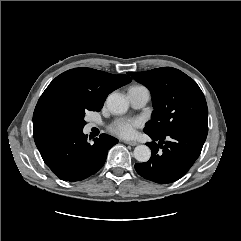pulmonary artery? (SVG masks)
<instances>
[{"label":"pulmonary artery","mask_w":241,"mask_h":241,"mask_svg":"<svg viewBox=\"0 0 241 241\" xmlns=\"http://www.w3.org/2000/svg\"><path fill=\"white\" fill-rule=\"evenodd\" d=\"M128 99L134 108H141L150 100V92L145 87H132L128 90Z\"/></svg>","instance_id":"e3ab8cb5"}]
</instances>
